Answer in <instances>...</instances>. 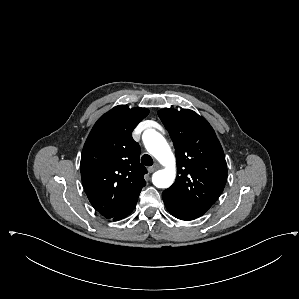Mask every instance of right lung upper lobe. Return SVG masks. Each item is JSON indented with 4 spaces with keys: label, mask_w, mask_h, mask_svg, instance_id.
Instances as JSON below:
<instances>
[{
    "label": "right lung upper lobe",
    "mask_w": 299,
    "mask_h": 299,
    "mask_svg": "<svg viewBox=\"0 0 299 299\" xmlns=\"http://www.w3.org/2000/svg\"><path fill=\"white\" fill-rule=\"evenodd\" d=\"M146 108L119 105L104 114L91 130L81 155V178L92 206L107 219L138 200L147 172L133 129L148 115Z\"/></svg>",
    "instance_id": "1"
}]
</instances>
